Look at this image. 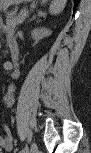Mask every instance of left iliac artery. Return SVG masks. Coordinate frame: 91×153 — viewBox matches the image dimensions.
<instances>
[{"label": "left iliac artery", "mask_w": 91, "mask_h": 153, "mask_svg": "<svg viewBox=\"0 0 91 153\" xmlns=\"http://www.w3.org/2000/svg\"><path fill=\"white\" fill-rule=\"evenodd\" d=\"M28 143H25V148L20 151V153H27Z\"/></svg>", "instance_id": "obj_1"}]
</instances>
